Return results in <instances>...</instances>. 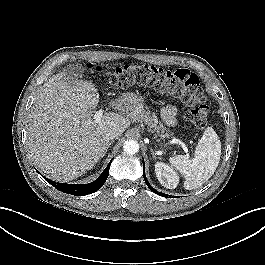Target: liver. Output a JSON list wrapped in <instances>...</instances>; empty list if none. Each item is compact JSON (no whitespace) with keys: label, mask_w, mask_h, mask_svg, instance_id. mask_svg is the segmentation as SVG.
Returning a JSON list of instances; mask_svg holds the SVG:
<instances>
[{"label":"liver","mask_w":265,"mask_h":265,"mask_svg":"<svg viewBox=\"0 0 265 265\" xmlns=\"http://www.w3.org/2000/svg\"><path fill=\"white\" fill-rule=\"evenodd\" d=\"M74 83V86L71 84ZM99 93L91 81L63 71L53 75L40 89L28 120V146L37 167L48 177L69 182L90 170L108 149L105 133L120 136L130 121L114 112L96 122L93 110ZM122 112L132 111L129 98L110 101Z\"/></svg>","instance_id":"liver-1"}]
</instances>
